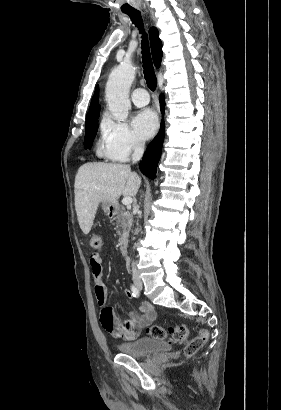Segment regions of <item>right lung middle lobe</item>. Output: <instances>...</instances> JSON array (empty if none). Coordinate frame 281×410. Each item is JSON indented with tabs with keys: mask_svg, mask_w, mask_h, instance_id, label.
<instances>
[{
	"mask_svg": "<svg viewBox=\"0 0 281 410\" xmlns=\"http://www.w3.org/2000/svg\"><path fill=\"white\" fill-rule=\"evenodd\" d=\"M98 117L99 116H96L94 118H90L86 120V123H85L86 133H85V139H84L85 148H90L95 138V135L98 130V123H97Z\"/></svg>",
	"mask_w": 281,
	"mask_h": 410,
	"instance_id": "obj_1",
	"label": "right lung middle lobe"
}]
</instances>
